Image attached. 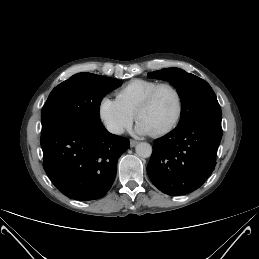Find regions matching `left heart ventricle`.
<instances>
[{
  "mask_svg": "<svg viewBox=\"0 0 259 259\" xmlns=\"http://www.w3.org/2000/svg\"><path fill=\"white\" fill-rule=\"evenodd\" d=\"M177 113L175 94L167 88L161 89L151 106L143 113L140 123L150 132L159 131L169 125Z\"/></svg>",
  "mask_w": 259,
  "mask_h": 259,
  "instance_id": "left-heart-ventricle-1",
  "label": "left heart ventricle"
}]
</instances>
